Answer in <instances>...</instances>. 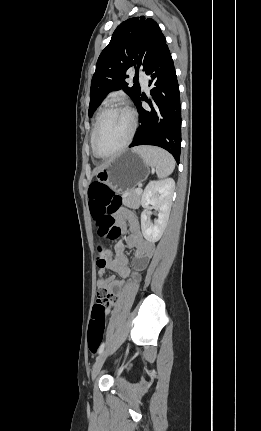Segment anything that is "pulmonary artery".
I'll list each match as a JSON object with an SVG mask.
<instances>
[{"label": "pulmonary artery", "instance_id": "obj_1", "mask_svg": "<svg viewBox=\"0 0 261 431\" xmlns=\"http://www.w3.org/2000/svg\"><path fill=\"white\" fill-rule=\"evenodd\" d=\"M139 80H140V83H141L142 87L146 89L147 86H148V77H147V75L145 73H143V72H140L139 73Z\"/></svg>", "mask_w": 261, "mask_h": 431}]
</instances>
